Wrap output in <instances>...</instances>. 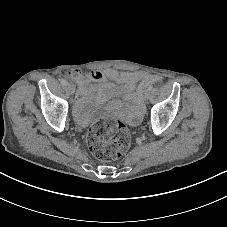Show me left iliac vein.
I'll return each instance as SVG.
<instances>
[{
	"label": "left iliac vein",
	"mask_w": 227,
	"mask_h": 227,
	"mask_svg": "<svg viewBox=\"0 0 227 227\" xmlns=\"http://www.w3.org/2000/svg\"><path fill=\"white\" fill-rule=\"evenodd\" d=\"M150 98V91H145V94H144V99L145 100H148Z\"/></svg>",
	"instance_id": "left-iliac-vein-1"
}]
</instances>
